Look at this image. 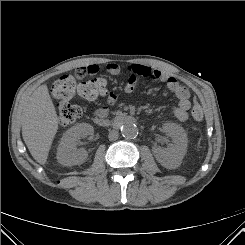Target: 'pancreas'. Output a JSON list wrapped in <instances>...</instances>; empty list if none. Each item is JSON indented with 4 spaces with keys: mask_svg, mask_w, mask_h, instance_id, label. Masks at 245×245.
I'll return each mask as SVG.
<instances>
[{
    "mask_svg": "<svg viewBox=\"0 0 245 245\" xmlns=\"http://www.w3.org/2000/svg\"><path fill=\"white\" fill-rule=\"evenodd\" d=\"M115 114H116V115H119V112H116Z\"/></svg>",
    "mask_w": 245,
    "mask_h": 245,
    "instance_id": "1",
    "label": "pancreas"
}]
</instances>
